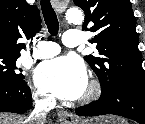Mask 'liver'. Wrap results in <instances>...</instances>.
I'll list each match as a JSON object with an SVG mask.
<instances>
[{
  "instance_id": "6515ba94",
  "label": "liver",
  "mask_w": 145,
  "mask_h": 124,
  "mask_svg": "<svg viewBox=\"0 0 145 124\" xmlns=\"http://www.w3.org/2000/svg\"><path fill=\"white\" fill-rule=\"evenodd\" d=\"M0 124H24V121L18 115L0 114Z\"/></svg>"
}]
</instances>
